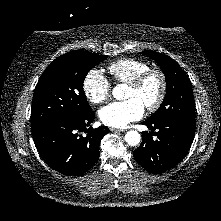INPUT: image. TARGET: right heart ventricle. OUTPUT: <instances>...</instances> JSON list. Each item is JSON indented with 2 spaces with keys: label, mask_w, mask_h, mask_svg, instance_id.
<instances>
[{
  "label": "right heart ventricle",
  "mask_w": 221,
  "mask_h": 221,
  "mask_svg": "<svg viewBox=\"0 0 221 221\" xmlns=\"http://www.w3.org/2000/svg\"><path fill=\"white\" fill-rule=\"evenodd\" d=\"M149 68V64L135 58H122L108 66V72L116 82L128 84Z\"/></svg>",
  "instance_id": "right-heart-ventricle-1"
}]
</instances>
